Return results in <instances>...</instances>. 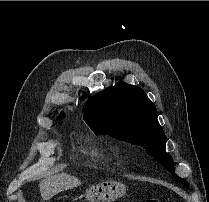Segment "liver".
I'll use <instances>...</instances> for the list:
<instances>
[{
  "instance_id": "6515ba94",
  "label": "liver",
  "mask_w": 209,
  "mask_h": 202,
  "mask_svg": "<svg viewBox=\"0 0 209 202\" xmlns=\"http://www.w3.org/2000/svg\"><path fill=\"white\" fill-rule=\"evenodd\" d=\"M80 184L81 181L78 178L67 173H60L42 179L39 183V188L42 199L47 201L54 195L65 190L75 188Z\"/></svg>"
}]
</instances>
